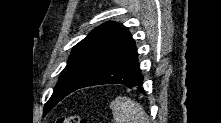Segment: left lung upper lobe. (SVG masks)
Wrapping results in <instances>:
<instances>
[{"label":"left lung upper lobe","instance_id":"left-lung-upper-lobe-1","mask_svg":"<svg viewBox=\"0 0 221 123\" xmlns=\"http://www.w3.org/2000/svg\"><path fill=\"white\" fill-rule=\"evenodd\" d=\"M134 46L132 36L120 23L108 22L94 29L74 46L54 92L47 102L45 113L78 89L102 67Z\"/></svg>","mask_w":221,"mask_h":123}]
</instances>
